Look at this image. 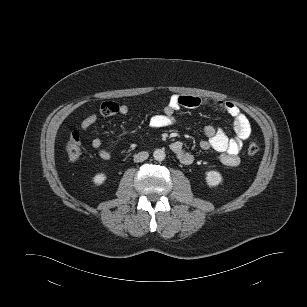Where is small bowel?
Returning a JSON list of instances; mask_svg holds the SVG:
<instances>
[{
    "mask_svg": "<svg viewBox=\"0 0 307 307\" xmlns=\"http://www.w3.org/2000/svg\"><path fill=\"white\" fill-rule=\"evenodd\" d=\"M208 107L214 110H220L229 114L234 120L233 138H229L227 134L213 126H206L203 129V139L200 147L204 150L213 149L221 154V162L229 167L238 166L240 163L239 153L242 149L243 142L249 138L251 134V125L247 117L241 112L240 108L230 101H221L212 98H200L193 95H173L169 99L168 104L163 108L162 113L153 115L150 118V126L152 128H164L175 122V113L182 107L196 108ZM101 115L109 117L116 114L126 115L129 113V106L126 104H118L116 102H103L99 109ZM97 121L96 114L86 116L80 124L82 130L92 127ZM93 149L97 152L100 159L110 161L111 153L103 146L100 138H95L91 143ZM173 153L178 157L182 164L189 165L193 162V155L188 152L183 143L175 141L170 146Z\"/></svg>",
    "mask_w": 307,
    "mask_h": 307,
    "instance_id": "c3829d8e",
    "label": "small bowel"
}]
</instances>
